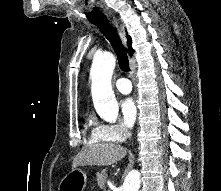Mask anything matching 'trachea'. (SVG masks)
Returning <instances> with one entry per match:
<instances>
[{
	"label": "trachea",
	"instance_id": "obj_1",
	"mask_svg": "<svg viewBox=\"0 0 221 191\" xmlns=\"http://www.w3.org/2000/svg\"><path fill=\"white\" fill-rule=\"evenodd\" d=\"M91 23L97 25L111 43L117 55L120 69L123 72H130L128 56L115 27L106 18L93 20Z\"/></svg>",
	"mask_w": 221,
	"mask_h": 191
}]
</instances>
